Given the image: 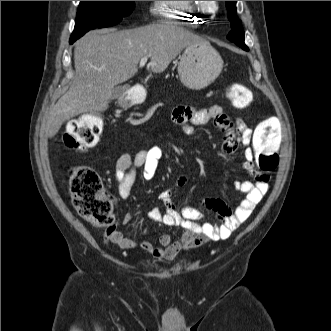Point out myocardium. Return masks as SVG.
<instances>
[{"label":"myocardium","instance_id":"obj_1","mask_svg":"<svg viewBox=\"0 0 331 331\" xmlns=\"http://www.w3.org/2000/svg\"><path fill=\"white\" fill-rule=\"evenodd\" d=\"M210 1H200L201 8L207 10L209 7Z\"/></svg>","mask_w":331,"mask_h":331}]
</instances>
